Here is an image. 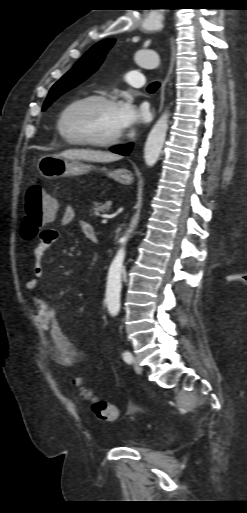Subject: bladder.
I'll return each instance as SVG.
<instances>
[{
  "instance_id": "31cf9c89",
  "label": "bladder",
  "mask_w": 247,
  "mask_h": 513,
  "mask_svg": "<svg viewBox=\"0 0 247 513\" xmlns=\"http://www.w3.org/2000/svg\"><path fill=\"white\" fill-rule=\"evenodd\" d=\"M144 445V441H119L115 446L116 447H124V448H136Z\"/></svg>"
}]
</instances>
